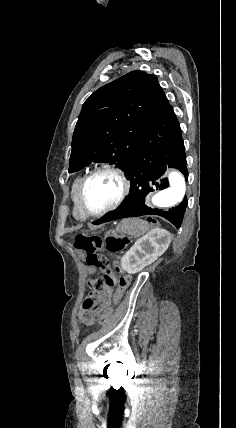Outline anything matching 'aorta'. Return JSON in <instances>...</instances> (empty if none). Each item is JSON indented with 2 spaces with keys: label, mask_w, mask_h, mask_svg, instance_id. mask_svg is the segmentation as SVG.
Returning <instances> with one entry per match:
<instances>
[{
  "label": "aorta",
  "mask_w": 236,
  "mask_h": 428,
  "mask_svg": "<svg viewBox=\"0 0 236 428\" xmlns=\"http://www.w3.org/2000/svg\"><path fill=\"white\" fill-rule=\"evenodd\" d=\"M169 187L159 191L152 197V203L157 207L167 208L178 204L184 198L186 184L184 176L178 171L168 175Z\"/></svg>",
  "instance_id": "obj_1"
}]
</instances>
